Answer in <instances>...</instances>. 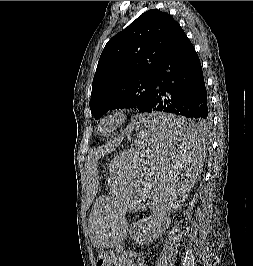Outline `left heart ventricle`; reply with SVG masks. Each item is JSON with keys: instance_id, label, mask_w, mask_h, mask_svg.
<instances>
[{"instance_id": "1", "label": "left heart ventricle", "mask_w": 253, "mask_h": 266, "mask_svg": "<svg viewBox=\"0 0 253 266\" xmlns=\"http://www.w3.org/2000/svg\"><path fill=\"white\" fill-rule=\"evenodd\" d=\"M114 125V121L113 120H106L103 122L101 128L103 131H108L110 130Z\"/></svg>"}]
</instances>
